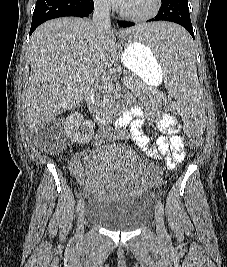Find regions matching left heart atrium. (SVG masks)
I'll return each mask as SVG.
<instances>
[{
	"label": "left heart atrium",
	"instance_id": "obj_1",
	"mask_svg": "<svg viewBox=\"0 0 227 267\" xmlns=\"http://www.w3.org/2000/svg\"><path fill=\"white\" fill-rule=\"evenodd\" d=\"M114 3L122 6L126 0H112Z\"/></svg>",
	"mask_w": 227,
	"mask_h": 267
}]
</instances>
